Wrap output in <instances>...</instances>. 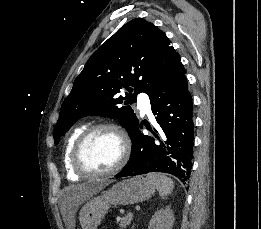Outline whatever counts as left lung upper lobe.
Listing matches in <instances>:
<instances>
[{
    "label": "left lung upper lobe",
    "mask_w": 261,
    "mask_h": 229,
    "mask_svg": "<svg viewBox=\"0 0 261 229\" xmlns=\"http://www.w3.org/2000/svg\"><path fill=\"white\" fill-rule=\"evenodd\" d=\"M179 64L180 56L164 32L142 18L129 21L91 55L76 77L62 103L54 143L86 115L116 117L131 137L139 120L130 106L117 105L136 102L140 92L149 94ZM123 87L130 92L126 97L118 96Z\"/></svg>",
    "instance_id": "1"
}]
</instances>
